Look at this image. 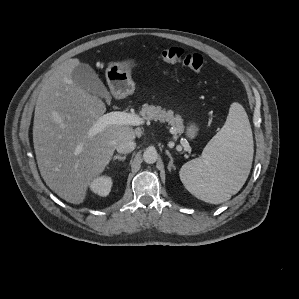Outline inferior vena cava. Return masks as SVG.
Returning a JSON list of instances; mask_svg holds the SVG:
<instances>
[{"label":"inferior vena cava","mask_w":299,"mask_h":299,"mask_svg":"<svg viewBox=\"0 0 299 299\" xmlns=\"http://www.w3.org/2000/svg\"><path fill=\"white\" fill-rule=\"evenodd\" d=\"M136 147V143L131 140H122L116 146V150L120 154L131 153Z\"/></svg>","instance_id":"602c4592"}]
</instances>
